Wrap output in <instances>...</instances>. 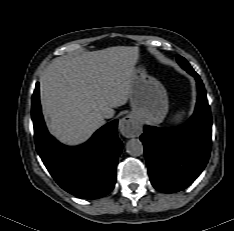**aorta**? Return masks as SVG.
Instances as JSON below:
<instances>
[{
  "mask_svg": "<svg viewBox=\"0 0 234 231\" xmlns=\"http://www.w3.org/2000/svg\"><path fill=\"white\" fill-rule=\"evenodd\" d=\"M127 151L132 155H139L142 152V144L137 139H131L127 142Z\"/></svg>",
  "mask_w": 234,
  "mask_h": 231,
  "instance_id": "1",
  "label": "aorta"
}]
</instances>
